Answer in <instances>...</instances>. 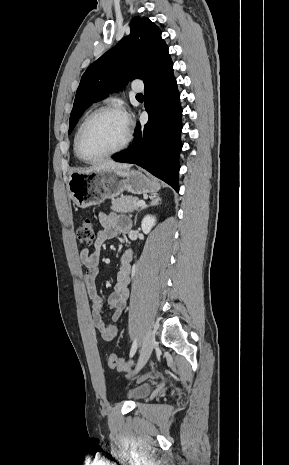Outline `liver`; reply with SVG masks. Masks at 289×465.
Returning a JSON list of instances; mask_svg holds the SVG:
<instances>
[{
    "label": "liver",
    "mask_w": 289,
    "mask_h": 465,
    "mask_svg": "<svg viewBox=\"0 0 289 465\" xmlns=\"http://www.w3.org/2000/svg\"><path fill=\"white\" fill-rule=\"evenodd\" d=\"M132 165L127 163H118L112 160L104 161L96 166L90 167L88 169L82 170L80 172H91V171H100V170H123L129 169Z\"/></svg>",
    "instance_id": "obj_1"
}]
</instances>
